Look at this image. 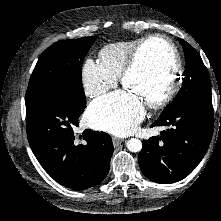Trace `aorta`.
Segmentation results:
<instances>
[{"label":"aorta","instance_id":"1","mask_svg":"<svg viewBox=\"0 0 221 221\" xmlns=\"http://www.w3.org/2000/svg\"><path fill=\"white\" fill-rule=\"evenodd\" d=\"M126 146L131 152H139L142 149V142L137 138H131L127 141Z\"/></svg>","mask_w":221,"mask_h":221}]
</instances>
